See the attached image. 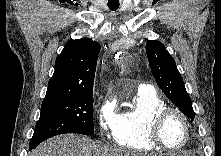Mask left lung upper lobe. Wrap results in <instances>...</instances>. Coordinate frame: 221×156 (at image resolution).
I'll use <instances>...</instances> for the list:
<instances>
[{
    "instance_id": "obj_1",
    "label": "left lung upper lobe",
    "mask_w": 221,
    "mask_h": 156,
    "mask_svg": "<svg viewBox=\"0 0 221 156\" xmlns=\"http://www.w3.org/2000/svg\"><path fill=\"white\" fill-rule=\"evenodd\" d=\"M146 52L152 74L160 89L188 118L194 120L191 99L173 57L157 40L146 43Z\"/></svg>"
}]
</instances>
